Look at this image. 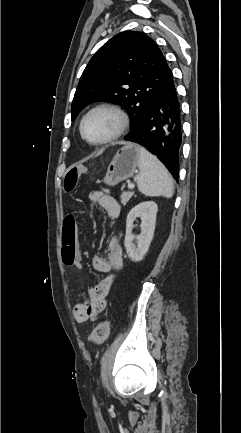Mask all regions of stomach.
Returning <instances> with one entry per match:
<instances>
[{"mask_svg":"<svg viewBox=\"0 0 241 433\" xmlns=\"http://www.w3.org/2000/svg\"><path fill=\"white\" fill-rule=\"evenodd\" d=\"M139 147L135 144H128L122 147L113 157L103 179L108 186H115L118 183L132 177L139 163Z\"/></svg>","mask_w":241,"mask_h":433,"instance_id":"stomach-1","label":"stomach"}]
</instances>
